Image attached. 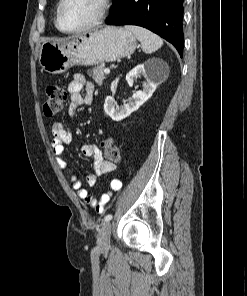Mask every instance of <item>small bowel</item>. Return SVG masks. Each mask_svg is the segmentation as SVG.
Masks as SVG:
<instances>
[{"instance_id":"small-bowel-1","label":"small bowel","mask_w":247,"mask_h":296,"mask_svg":"<svg viewBox=\"0 0 247 296\" xmlns=\"http://www.w3.org/2000/svg\"><path fill=\"white\" fill-rule=\"evenodd\" d=\"M67 89L70 94V115H73L74 111L79 106L90 104L94 98L95 86L93 83L87 81L83 75H75L68 83ZM83 89L85 90L84 96L81 94ZM50 130L53 134L51 148L54 159L61 169H67L65 145L71 142L72 134L60 121H53L50 124ZM81 152L84 156L91 157L94 160L93 172L86 178L89 186H94L98 177L109 174L115 170V165L104 159L100 149L95 144H84L81 147ZM67 176L78 197L100 214L105 211V208L111 202L114 193L122 186L120 180L114 179L110 184L111 191L102 194L99 199H96L83 187L82 180L74 172L67 171Z\"/></svg>"}]
</instances>
